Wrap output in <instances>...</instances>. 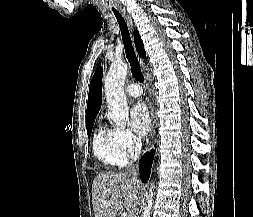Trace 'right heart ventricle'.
Masks as SVG:
<instances>
[{
  "label": "right heart ventricle",
  "instance_id": "e07e8e85",
  "mask_svg": "<svg viewBox=\"0 0 253 217\" xmlns=\"http://www.w3.org/2000/svg\"><path fill=\"white\" fill-rule=\"evenodd\" d=\"M93 153L107 167H125L128 163L126 154L118 145L114 129L99 126L93 135Z\"/></svg>",
  "mask_w": 253,
  "mask_h": 217
}]
</instances>
